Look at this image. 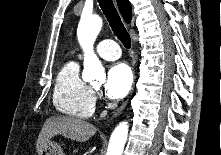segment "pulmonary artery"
Here are the masks:
<instances>
[{"label":"pulmonary artery","mask_w":221,"mask_h":155,"mask_svg":"<svg viewBox=\"0 0 221 155\" xmlns=\"http://www.w3.org/2000/svg\"><path fill=\"white\" fill-rule=\"evenodd\" d=\"M96 50L100 57L109 61L116 60L121 55V51L118 44L111 39L101 41L97 45Z\"/></svg>","instance_id":"1"}]
</instances>
